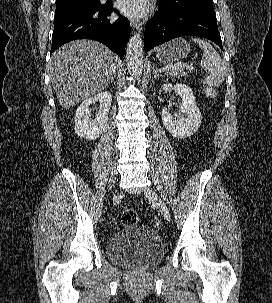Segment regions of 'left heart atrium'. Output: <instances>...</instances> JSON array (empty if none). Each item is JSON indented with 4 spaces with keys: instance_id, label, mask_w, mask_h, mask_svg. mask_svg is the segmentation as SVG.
I'll use <instances>...</instances> for the list:
<instances>
[{
    "instance_id": "left-heart-atrium-1",
    "label": "left heart atrium",
    "mask_w": 272,
    "mask_h": 303,
    "mask_svg": "<svg viewBox=\"0 0 272 303\" xmlns=\"http://www.w3.org/2000/svg\"><path fill=\"white\" fill-rule=\"evenodd\" d=\"M150 0H119L118 9L121 13L131 17H142L147 14Z\"/></svg>"
}]
</instances>
